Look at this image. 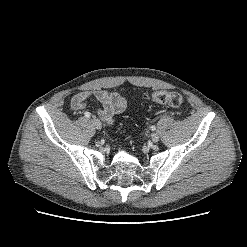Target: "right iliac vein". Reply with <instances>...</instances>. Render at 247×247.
<instances>
[{
	"mask_svg": "<svg viewBox=\"0 0 247 247\" xmlns=\"http://www.w3.org/2000/svg\"><path fill=\"white\" fill-rule=\"evenodd\" d=\"M91 121H92V123L96 129L100 130L102 128V124H101L100 120H98L96 118H92Z\"/></svg>",
	"mask_w": 247,
	"mask_h": 247,
	"instance_id": "63e3f726",
	"label": "right iliac vein"
}]
</instances>
